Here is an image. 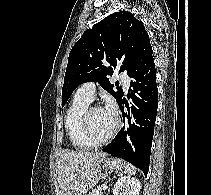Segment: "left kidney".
I'll use <instances>...</instances> for the list:
<instances>
[{
  "mask_svg": "<svg viewBox=\"0 0 211 195\" xmlns=\"http://www.w3.org/2000/svg\"><path fill=\"white\" fill-rule=\"evenodd\" d=\"M141 183L130 176L120 177L114 185L113 195H139Z\"/></svg>",
  "mask_w": 211,
  "mask_h": 195,
  "instance_id": "left-kidney-1",
  "label": "left kidney"
}]
</instances>
